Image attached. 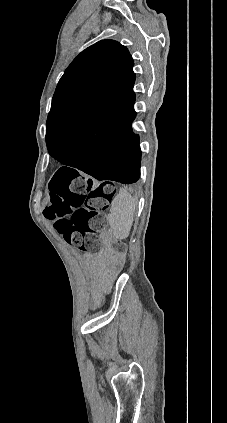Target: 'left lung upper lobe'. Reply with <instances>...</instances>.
Listing matches in <instances>:
<instances>
[{
    "label": "left lung upper lobe",
    "mask_w": 227,
    "mask_h": 423,
    "mask_svg": "<svg viewBox=\"0 0 227 423\" xmlns=\"http://www.w3.org/2000/svg\"><path fill=\"white\" fill-rule=\"evenodd\" d=\"M134 63L127 48L102 40L82 51L58 82L46 122L47 146L110 113L135 112Z\"/></svg>",
    "instance_id": "5c2ea615"
}]
</instances>
